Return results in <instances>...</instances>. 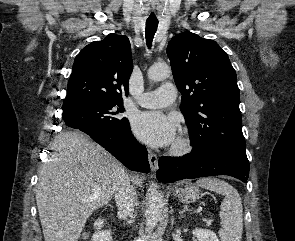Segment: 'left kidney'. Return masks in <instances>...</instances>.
Segmentation results:
<instances>
[{
  "mask_svg": "<svg viewBox=\"0 0 295 241\" xmlns=\"http://www.w3.org/2000/svg\"><path fill=\"white\" fill-rule=\"evenodd\" d=\"M192 233L198 241H219L216 234L208 229L196 228Z\"/></svg>",
  "mask_w": 295,
  "mask_h": 241,
  "instance_id": "1",
  "label": "left kidney"
}]
</instances>
